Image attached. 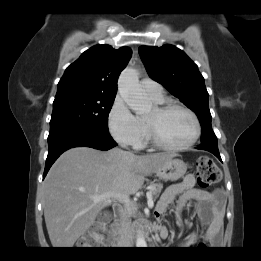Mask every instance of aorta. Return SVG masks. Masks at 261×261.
Segmentation results:
<instances>
[{
	"label": "aorta",
	"mask_w": 261,
	"mask_h": 261,
	"mask_svg": "<svg viewBox=\"0 0 261 261\" xmlns=\"http://www.w3.org/2000/svg\"><path fill=\"white\" fill-rule=\"evenodd\" d=\"M118 91L128 106L138 114L147 112L151 104L144 97L139 84L138 73L135 69L125 68L118 80ZM147 243L139 233L136 239L137 248H145Z\"/></svg>",
	"instance_id": "aorta-1"
}]
</instances>
